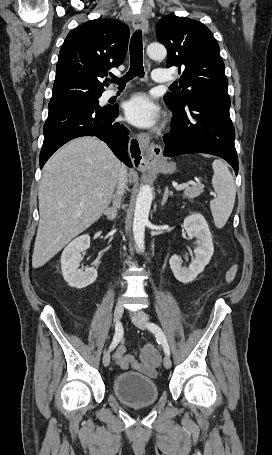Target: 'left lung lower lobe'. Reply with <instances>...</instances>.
Returning <instances> with one entry per match:
<instances>
[{
    "label": "left lung lower lobe",
    "mask_w": 272,
    "mask_h": 455,
    "mask_svg": "<svg viewBox=\"0 0 272 455\" xmlns=\"http://www.w3.org/2000/svg\"><path fill=\"white\" fill-rule=\"evenodd\" d=\"M174 113L171 131L163 137L164 155L206 153L225 159L238 174L235 130L230 119V97L201 96L184 107L167 105Z\"/></svg>",
    "instance_id": "1"
}]
</instances>
